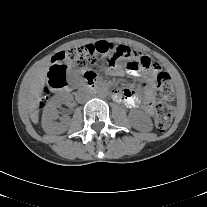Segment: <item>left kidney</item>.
Returning a JSON list of instances; mask_svg holds the SVG:
<instances>
[{
    "label": "left kidney",
    "instance_id": "5707ae66",
    "mask_svg": "<svg viewBox=\"0 0 207 207\" xmlns=\"http://www.w3.org/2000/svg\"><path fill=\"white\" fill-rule=\"evenodd\" d=\"M131 125L134 129L142 132H150L153 128L151 118L142 111H132L129 113Z\"/></svg>",
    "mask_w": 207,
    "mask_h": 207
}]
</instances>
